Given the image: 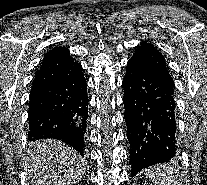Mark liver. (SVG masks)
Instances as JSON below:
<instances>
[{"instance_id":"1","label":"liver","mask_w":207,"mask_h":185,"mask_svg":"<svg viewBox=\"0 0 207 185\" xmlns=\"http://www.w3.org/2000/svg\"><path fill=\"white\" fill-rule=\"evenodd\" d=\"M27 155V185H75L85 175L81 155L62 141H36Z\"/></svg>"}]
</instances>
